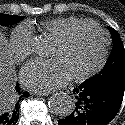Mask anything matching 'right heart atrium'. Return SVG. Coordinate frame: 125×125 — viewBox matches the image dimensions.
Returning <instances> with one entry per match:
<instances>
[{
	"mask_svg": "<svg viewBox=\"0 0 125 125\" xmlns=\"http://www.w3.org/2000/svg\"><path fill=\"white\" fill-rule=\"evenodd\" d=\"M35 50V39L32 28L28 24L17 26L9 40V51L16 63L23 62Z\"/></svg>",
	"mask_w": 125,
	"mask_h": 125,
	"instance_id": "right-heart-atrium-1",
	"label": "right heart atrium"
}]
</instances>
